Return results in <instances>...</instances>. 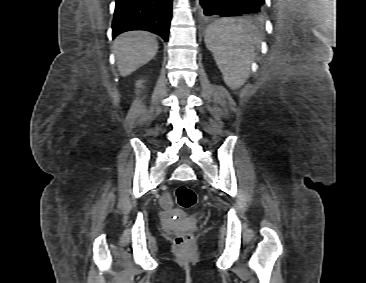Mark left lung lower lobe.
<instances>
[{
  "mask_svg": "<svg viewBox=\"0 0 366 283\" xmlns=\"http://www.w3.org/2000/svg\"><path fill=\"white\" fill-rule=\"evenodd\" d=\"M264 2L265 0H200V5L204 16L223 17L262 13Z\"/></svg>",
  "mask_w": 366,
  "mask_h": 283,
  "instance_id": "obj_1",
  "label": "left lung lower lobe"
}]
</instances>
